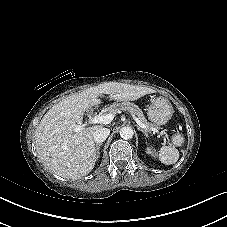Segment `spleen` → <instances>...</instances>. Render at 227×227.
Segmentation results:
<instances>
[{
    "label": "spleen",
    "instance_id": "1",
    "mask_svg": "<svg viewBox=\"0 0 227 227\" xmlns=\"http://www.w3.org/2000/svg\"><path fill=\"white\" fill-rule=\"evenodd\" d=\"M173 146H163L160 148L159 153L157 155L159 160L166 165L174 164L179 159V151L175 148V146H182L184 143V136L181 133H176L171 138Z\"/></svg>",
    "mask_w": 227,
    "mask_h": 227
}]
</instances>
